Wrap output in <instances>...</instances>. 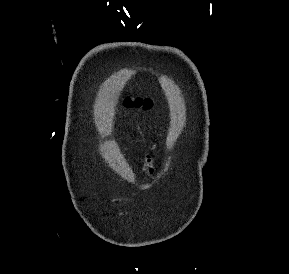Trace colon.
I'll use <instances>...</instances> for the list:
<instances>
[{
  "label": "colon",
  "instance_id": "1",
  "mask_svg": "<svg viewBox=\"0 0 289 274\" xmlns=\"http://www.w3.org/2000/svg\"><path fill=\"white\" fill-rule=\"evenodd\" d=\"M125 105L127 107H135V108H144V109H150L153 105L152 101L150 99H141V98H126Z\"/></svg>",
  "mask_w": 289,
  "mask_h": 274
}]
</instances>
